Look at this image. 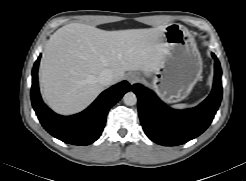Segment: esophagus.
<instances>
[{"instance_id": "1", "label": "esophagus", "mask_w": 246, "mask_h": 181, "mask_svg": "<svg viewBox=\"0 0 246 181\" xmlns=\"http://www.w3.org/2000/svg\"><path fill=\"white\" fill-rule=\"evenodd\" d=\"M127 80L132 85V84L138 82L139 76L135 73H130L127 75Z\"/></svg>"}]
</instances>
